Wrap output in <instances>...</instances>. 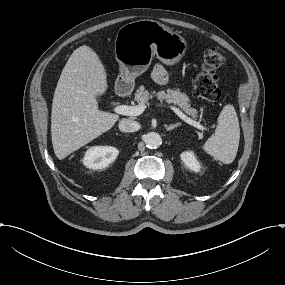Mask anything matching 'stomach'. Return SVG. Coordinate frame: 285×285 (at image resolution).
<instances>
[{
  "label": "stomach",
  "mask_w": 285,
  "mask_h": 285,
  "mask_svg": "<svg viewBox=\"0 0 285 285\" xmlns=\"http://www.w3.org/2000/svg\"><path fill=\"white\" fill-rule=\"evenodd\" d=\"M187 51V42L178 32L155 20H139L121 27L115 40L119 63V82L134 83L145 72L153 55L167 66L179 63Z\"/></svg>",
  "instance_id": "0dacf381"
}]
</instances>
